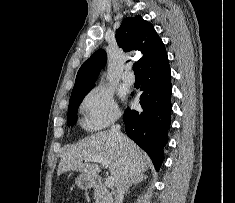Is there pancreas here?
Listing matches in <instances>:
<instances>
[{"instance_id": "pancreas-1", "label": "pancreas", "mask_w": 235, "mask_h": 203, "mask_svg": "<svg viewBox=\"0 0 235 203\" xmlns=\"http://www.w3.org/2000/svg\"><path fill=\"white\" fill-rule=\"evenodd\" d=\"M94 200L95 203H113L112 196L104 185L95 187Z\"/></svg>"}]
</instances>
